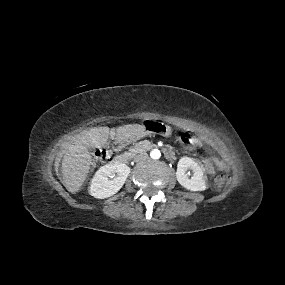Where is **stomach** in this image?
<instances>
[{"label":"stomach","mask_w":285,"mask_h":285,"mask_svg":"<svg viewBox=\"0 0 285 285\" xmlns=\"http://www.w3.org/2000/svg\"><path fill=\"white\" fill-rule=\"evenodd\" d=\"M144 131L142 134L136 136L134 139H139L151 133H156V131L160 132L162 135H166L170 132V128L163 123L156 121H149L143 124Z\"/></svg>","instance_id":"obj_1"}]
</instances>
